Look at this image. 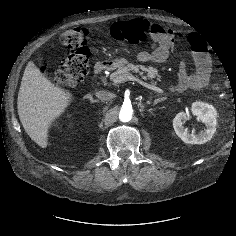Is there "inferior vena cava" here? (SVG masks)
Returning <instances> with one entry per match:
<instances>
[{"mask_svg":"<svg viewBox=\"0 0 236 236\" xmlns=\"http://www.w3.org/2000/svg\"><path fill=\"white\" fill-rule=\"evenodd\" d=\"M96 97L103 101H110L114 97V94L109 91H98L96 92Z\"/></svg>","mask_w":236,"mask_h":236,"instance_id":"inferior-vena-cava-1","label":"inferior vena cava"}]
</instances>
